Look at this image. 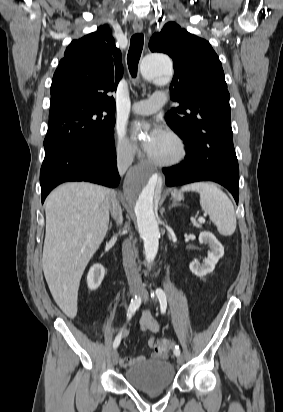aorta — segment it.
<instances>
[{
    "instance_id": "1",
    "label": "aorta",
    "mask_w": 283,
    "mask_h": 412,
    "mask_svg": "<svg viewBox=\"0 0 283 412\" xmlns=\"http://www.w3.org/2000/svg\"><path fill=\"white\" fill-rule=\"evenodd\" d=\"M140 70L144 79L160 84L172 76L173 65L169 57L155 54L142 61ZM158 180L156 173L138 169L127 177L124 185L125 194L135 203L138 231L143 238L145 259L149 264L157 255L160 238L153 202Z\"/></svg>"
}]
</instances>
